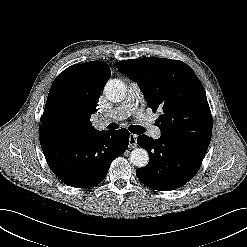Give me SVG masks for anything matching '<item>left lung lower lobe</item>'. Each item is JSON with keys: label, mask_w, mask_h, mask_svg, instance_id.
I'll use <instances>...</instances> for the list:
<instances>
[{"label": "left lung lower lobe", "mask_w": 247, "mask_h": 247, "mask_svg": "<svg viewBox=\"0 0 247 247\" xmlns=\"http://www.w3.org/2000/svg\"><path fill=\"white\" fill-rule=\"evenodd\" d=\"M140 147L149 153V163L137 168L136 176L146 186L159 191H170L186 184L198 172L208 146L161 136L140 135Z\"/></svg>", "instance_id": "left-lung-lower-lobe-1"}]
</instances>
